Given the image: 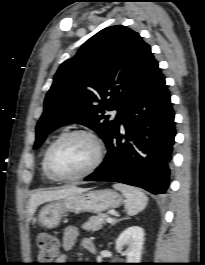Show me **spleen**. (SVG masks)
<instances>
[{"instance_id":"obj_1","label":"spleen","mask_w":205,"mask_h":265,"mask_svg":"<svg viewBox=\"0 0 205 265\" xmlns=\"http://www.w3.org/2000/svg\"><path fill=\"white\" fill-rule=\"evenodd\" d=\"M113 187L125 197V209L129 215L134 216L146 207L148 197L140 189L119 183Z\"/></svg>"}]
</instances>
